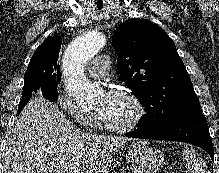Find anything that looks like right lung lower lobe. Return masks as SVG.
Here are the masks:
<instances>
[{
  "instance_id": "obj_1",
  "label": "right lung lower lobe",
  "mask_w": 219,
  "mask_h": 173,
  "mask_svg": "<svg viewBox=\"0 0 219 173\" xmlns=\"http://www.w3.org/2000/svg\"><path fill=\"white\" fill-rule=\"evenodd\" d=\"M31 97H32V94L22 96L21 102L18 107L17 114L21 112V110L24 108V106L27 104V102L30 100Z\"/></svg>"
}]
</instances>
